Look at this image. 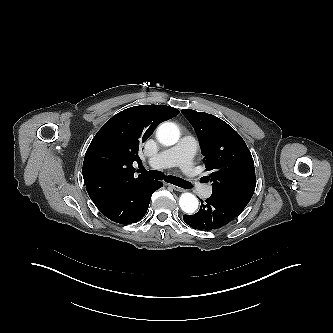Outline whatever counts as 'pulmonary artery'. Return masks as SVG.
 Wrapping results in <instances>:
<instances>
[{
	"label": "pulmonary artery",
	"instance_id": "e3ab8cb5",
	"mask_svg": "<svg viewBox=\"0 0 333 333\" xmlns=\"http://www.w3.org/2000/svg\"><path fill=\"white\" fill-rule=\"evenodd\" d=\"M196 148V140L191 136H185L176 146L162 151L150 158L149 164L154 168L179 166L183 172L191 176L193 172L192 159ZM196 187L204 197H209L211 195V187H201L198 185H196Z\"/></svg>",
	"mask_w": 333,
	"mask_h": 333
}]
</instances>
